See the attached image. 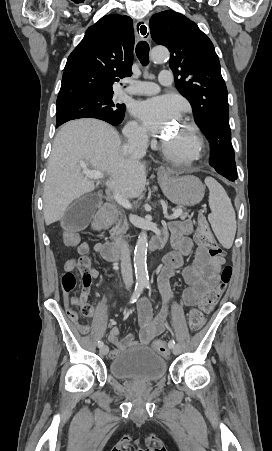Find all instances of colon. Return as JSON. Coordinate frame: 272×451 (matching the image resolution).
I'll use <instances>...</instances> for the list:
<instances>
[{"mask_svg": "<svg viewBox=\"0 0 272 451\" xmlns=\"http://www.w3.org/2000/svg\"><path fill=\"white\" fill-rule=\"evenodd\" d=\"M64 242L68 249H73L75 244L80 243V236L76 235L74 230H65L63 232ZM197 241L204 244L208 248V258H227V249H217V243L210 232L209 225L205 219H201L199 222V227L197 230ZM67 270L64 274L59 275V282L61 283V289H78V280H76V275L73 274L74 268H79L80 270H88L90 268L89 259L85 255H80L77 257H70L67 260ZM233 268L230 265H226L220 274V283L210 291H208L204 297L201 304V309H191L189 312V324L191 329L198 330L203 325V312H210L214 306L219 302L220 298L224 294L229 281L231 279ZM72 303L78 300L75 294L69 297ZM81 313L88 315L91 313V305L84 303L81 305ZM69 316L75 319L77 316L76 311H70ZM88 325L82 324L80 330L83 333L88 332ZM153 351H159L164 358H167L171 352V342H153Z\"/></svg>", "mask_w": 272, "mask_h": 451, "instance_id": "colon-1", "label": "colon"}]
</instances>
